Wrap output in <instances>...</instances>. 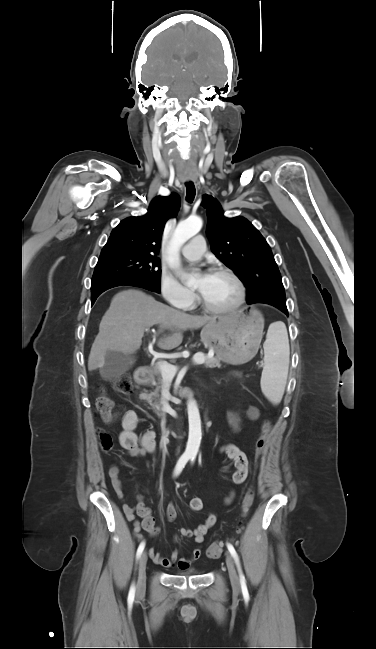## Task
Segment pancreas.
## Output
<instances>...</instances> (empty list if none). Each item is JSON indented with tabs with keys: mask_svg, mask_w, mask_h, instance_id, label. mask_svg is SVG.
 <instances>
[{
	"mask_svg": "<svg viewBox=\"0 0 376 649\" xmlns=\"http://www.w3.org/2000/svg\"><path fill=\"white\" fill-rule=\"evenodd\" d=\"M204 365L207 368L221 367L220 359L210 357H205ZM150 380L152 381V383L156 384V389L150 394H143L142 398L146 400V402L151 406L152 409L156 411L161 410V401L157 400V398L159 397L160 389L164 385V379L161 375L159 364L153 365L150 368Z\"/></svg>",
	"mask_w": 376,
	"mask_h": 649,
	"instance_id": "cf45deb5",
	"label": "pancreas"
}]
</instances>
